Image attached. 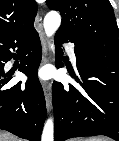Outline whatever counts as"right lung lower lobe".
<instances>
[{"instance_id":"obj_1","label":"right lung lower lobe","mask_w":119,"mask_h":141,"mask_svg":"<svg viewBox=\"0 0 119 141\" xmlns=\"http://www.w3.org/2000/svg\"><path fill=\"white\" fill-rule=\"evenodd\" d=\"M21 55L19 71L28 76L25 89L21 82L6 88L11 80L4 73V65L16 54ZM42 58L39 35L35 28L24 36L0 46V129L30 141H40L46 118V104L37 70Z\"/></svg>"}]
</instances>
